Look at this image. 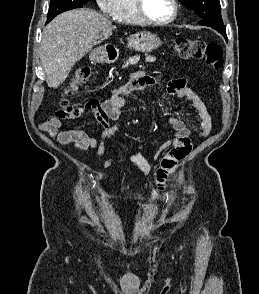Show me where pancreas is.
Masks as SVG:
<instances>
[{
  "mask_svg": "<svg viewBox=\"0 0 259 294\" xmlns=\"http://www.w3.org/2000/svg\"><path fill=\"white\" fill-rule=\"evenodd\" d=\"M139 60H140L139 56H134L132 58H129L128 61H126L125 65H123V68L128 67L129 64L136 65L139 62ZM145 61L146 62H154L155 58L152 56H147Z\"/></svg>",
  "mask_w": 259,
  "mask_h": 294,
  "instance_id": "1",
  "label": "pancreas"
}]
</instances>
